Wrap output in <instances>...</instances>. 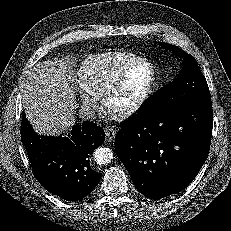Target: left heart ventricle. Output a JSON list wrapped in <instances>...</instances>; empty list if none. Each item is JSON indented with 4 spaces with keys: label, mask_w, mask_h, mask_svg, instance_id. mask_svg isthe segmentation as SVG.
Segmentation results:
<instances>
[{
    "label": "left heart ventricle",
    "mask_w": 231,
    "mask_h": 231,
    "mask_svg": "<svg viewBox=\"0 0 231 231\" xmlns=\"http://www.w3.org/2000/svg\"><path fill=\"white\" fill-rule=\"evenodd\" d=\"M151 79V69L142 65L135 69L125 81L123 88L113 97L114 108H122L132 103L148 86Z\"/></svg>",
    "instance_id": "left-heart-ventricle-1"
}]
</instances>
